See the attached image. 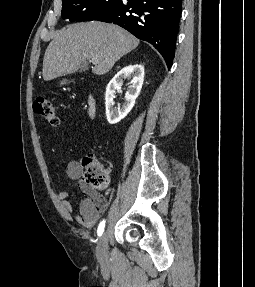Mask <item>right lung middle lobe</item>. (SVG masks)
Listing matches in <instances>:
<instances>
[{
	"label": "right lung middle lobe",
	"instance_id": "1",
	"mask_svg": "<svg viewBox=\"0 0 255 287\" xmlns=\"http://www.w3.org/2000/svg\"><path fill=\"white\" fill-rule=\"evenodd\" d=\"M123 0H62V18L70 21L98 20Z\"/></svg>",
	"mask_w": 255,
	"mask_h": 287
}]
</instances>
